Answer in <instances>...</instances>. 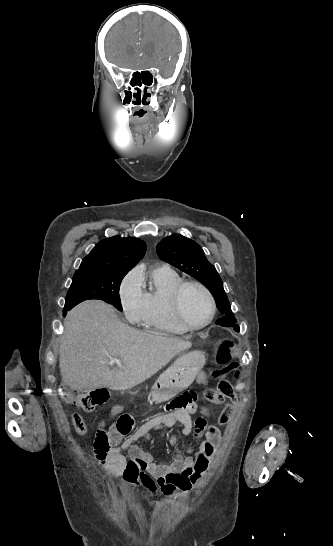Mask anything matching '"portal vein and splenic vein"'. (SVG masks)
Instances as JSON below:
<instances>
[{"label": "portal vein and splenic vein", "instance_id": "obj_1", "mask_svg": "<svg viewBox=\"0 0 333 546\" xmlns=\"http://www.w3.org/2000/svg\"><path fill=\"white\" fill-rule=\"evenodd\" d=\"M110 363H116L118 366L121 367V361L118 358H111Z\"/></svg>", "mask_w": 333, "mask_h": 546}]
</instances>
